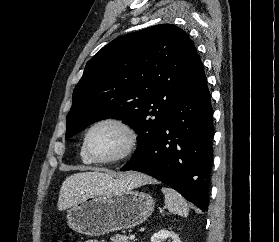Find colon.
Wrapping results in <instances>:
<instances>
[{"mask_svg": "<svg viewBox=\"0 0 279 242\" xmlns=\"http://www.w3.org/2000/svg\"><path fill=\"white\" fill-rule=\"evenodd\" d=\"M51 242H71V241L68 239H64V240L53 239Z\"/></svg>", "mask_w": 279, "mask_h": 242, "instance_id": "1", "label": "colon"}]
</instances>
